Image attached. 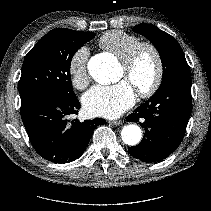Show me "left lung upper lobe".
Here are the masks:
<instances>
[{
	"label": "left lung upper lobe",
	"instance_id": "5c2ea615",
	"mask_svg": "<svg viewBox=\"0 0 211 211\" xmlns=\"http://www.w3.org/2000/svg\"><path fill=\"white\" fill-rule=\"evenodd\" d=\"M133 30L149 39L160 54L163 77L159 88L174 78L191 76L182 48L173 36L146 23L135 26Z\"/></svg>",
	"mask_w": 211,
	"mask_h": 211
}]
</instances>
